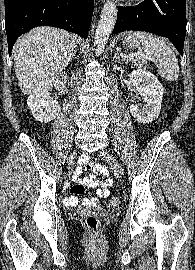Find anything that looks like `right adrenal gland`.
<instances>
[{
	"instance_id": "right-adrenal-gland-1",
	"label": "right adrenal gland",
	"mask_w": 195,
	"mask_h": 270,
	"mask_svg": "<svg viewBox=\"0 0 195 270\" xmlns=\"http://www.w3.org/2000/svg\"><path fill=\"white\" fill-rule=\"evenodd\" d=\"M76 52H77V44L75 45V49H74V52L72 54V58H74L76 56ZM72 58L70 61H72Z\"/></svg>"
}]
</instances>
